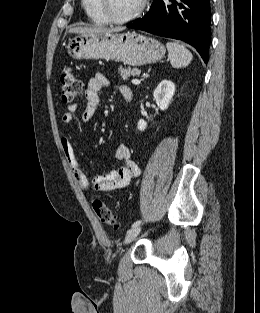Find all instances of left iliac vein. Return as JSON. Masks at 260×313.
I'll use <instances>...</instances> for the list:
<instances>
[{
	"instance_id": "4c4485c4",
	"label": "left iliac vein",
	"mask_w": 260,
	"mask_h": 313,
	"mask_svg": "<svg viewBox=\"0 0 260 313\" xmlns=\"http://www.w3.org/2000/svg\"><path fill=\"white\" fill-rule=\"evenodd\" d=\"M140 231H141L140 226L131 228L126 234L125 242L127 244L131 243L139 235Z\"/></svg>"
}]
</instances>
